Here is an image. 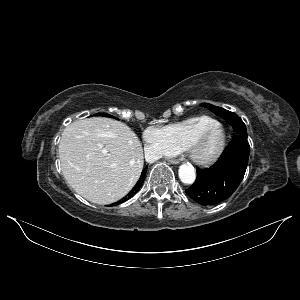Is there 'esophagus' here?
<instances>
[{
  "instance_id": "esophagus-1",
  "label": "esophagus",
  "mask_w": 300,
  "mask_h": 300,
  "mask_svg": "<svg viewBox=\"0 0 300 300\" xmlns=\"http://www.w3.org/2000/svg\"><path fill=\"white\" fill-rule=\"evenodd\" d=\"M169 163H171V164H179V161L176 160V159H170Z\"/></svg>"
}]
</instances>
